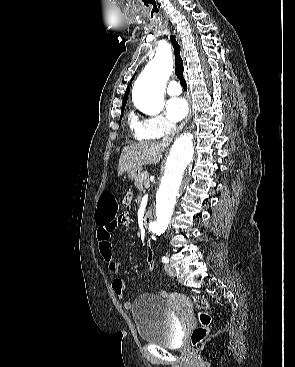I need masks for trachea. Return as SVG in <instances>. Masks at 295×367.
Listing matches in <instances>:
<instances>
[{"label": "trachea", "instance_id": "trachea-1", "mask_svg": "<svg viewBox=\"0 0 295 367\" xmlns=\"http://www.w3.org/2000/svg\"><path fill=\"white\" fill-rule=\"evenodd\" d=\"M171 43L174 48V55H175V74L180 81L181 86L184 89H187V84L183 76V60L181 58V49L176 37L174 35L170 36Z\"/></svg>", "mask_w": 295, "mask_h": 367}]
</instances>
